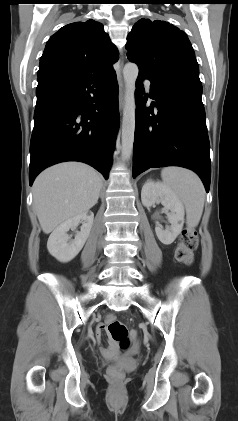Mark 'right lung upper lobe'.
<instances>
[{
	"mask_svg": "<svg viewBox=\"0 0 238 421\" xmlns=\"http://www.w3.org/2000/svg\"><path fill=\"white\" fill-rule=\"evenodd\" d=\"M117 60V49L101 23L94 20L70 23L48 40L40 59L38 78L106 73Z\"/></svg>",
	"mask_w": 238,
	"mask_h": 421,
	"instance_id": "obj_1",
	"label": "right lung upper lobe"
}]
</instances>
